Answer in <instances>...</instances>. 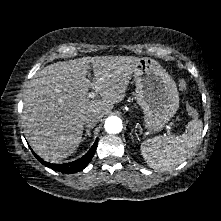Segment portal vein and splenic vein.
I'll use <instances>...</instances> for the list:
<instances>
[{
  "label": "portal vein and splenic vein",
  "mask_w": 221,
  "mask_h": 221,
  "mask_svg": "<svg viewBox=\"0 0 221 221\" xmlns=\"http://www.w3.org/2000/svg\"><path fill=\"white\" fill-rule=\"evenodd\" d=\"M88 97H89V98H94V97H95V92H94V91H91V92L88 94Z\"/></svg>",
  "instance_id": "1"
}]
</instances>
